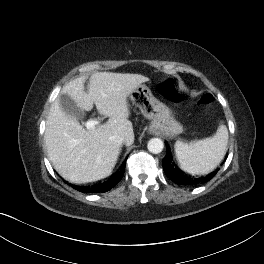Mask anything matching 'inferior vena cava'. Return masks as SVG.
Listing matches in <instances>:
<instances>
[{
	"mask_svg": "<svg viewBox=\"0 0 264 264\" xmlns=\"http://www.w3.org/2000/svg\"><path fill=\"white\" fill-rule=\"evenodd\" d=\"M110 140L119 144V145H122V143H126V139L122 136L114 135V136L110 137Z\"/></svg>",
	"mask_w": 264,
	"mask_h": 264,
	"instance_id": "inferior-vena-cava-1",
	"label": "inferior vena cava"
}]
</instances>
